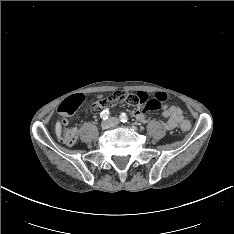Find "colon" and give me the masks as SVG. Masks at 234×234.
<instances>
[{"label": "colon", "instance_id": "obj_1", "mask_svg": "<svg viewBox=\"0 0 234 234\" xmlns=\"http://www.w3.org/2000/svg\"><path fill=\"white\" fill-rule=\"evenodd\" d=\"M166 97V94L163 92H158L150 98L145 92L128 93L126 91H117L108 100L100 99L96 101L92 109L98 112L103 108V104L108 101L112 104L126 102L131 106L142 107L147 110H158L161 107V103L166 100ZM84 101V96L77 94L65 99L59 106L63 124L60 140L68 146H73L78 138L77 130L68 126V117L73 115L83 105ZM190 128L191 123L187 120L181 124L182 130H189Z\"/></svg>", "mask_w": 234, "mask_h": 234}]
</instances>
